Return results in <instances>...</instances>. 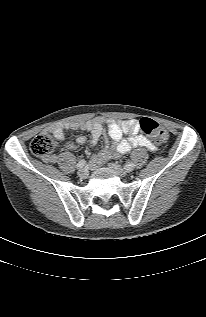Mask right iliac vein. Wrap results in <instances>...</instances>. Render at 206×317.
Instances as JSON below:
<instances>
[{"label": "right iliac vein", "mask_w": 206, "mask_h": 317, "mask_svg": "<svg viewBox=\"0 0 206 317\" xmlns=\"http://www.w3.org/2000/svg\"><path fill=\"white\" fill-rule=\"evenodd\" d=\"M77 174L81 178H86L88 176V171L86 169H80Z\"/></svg>", "instance_id": "1"}]
</instances>
